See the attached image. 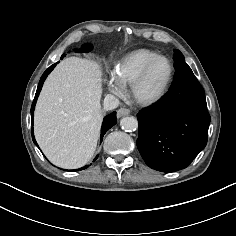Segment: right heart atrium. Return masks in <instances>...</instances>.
Instances as JSON below:
<instances>
[{"instance_id": "right-heart-atrium-1", "label": "right heart atrium", "mask_w": 236, "mask_h": 236, "mask_svg": "<svg viewBox=\"0 0 236 236\" xmlns=\"http://www.w3.org/2000/svg\"><path fill=\"white\" fill-rule=\"evenodd\" d=\"M107 88L110 92L116 95H121L124 91V87L113 76H110L107 80Z\"/></svg>"}]
</instances>
